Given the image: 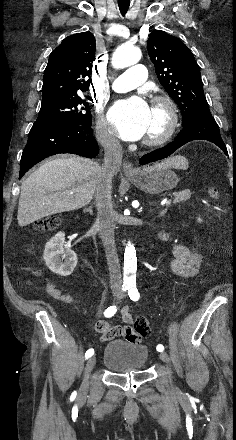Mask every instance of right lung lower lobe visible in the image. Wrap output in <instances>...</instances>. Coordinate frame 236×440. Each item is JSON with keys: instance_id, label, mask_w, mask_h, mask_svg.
<instances>
[{"instance_id": "98d812e1", "label": "right lung lower lobe", "mask_w": 236, "mask_h": 440, "mask_svg": "<svg viewBox=\"0 0 236 440\" xmlns=\"http://www.w3.org/2000/svg\"><path fill=\"white\" fill-rule=\"evenodd\" d=\"M73 153L87 158L96 157L99 147L91 126L56 121H36L20 161L19 178L46 157Z\"/></svg>"}]
</instances>
